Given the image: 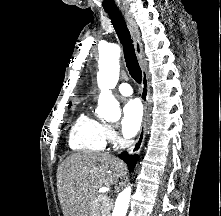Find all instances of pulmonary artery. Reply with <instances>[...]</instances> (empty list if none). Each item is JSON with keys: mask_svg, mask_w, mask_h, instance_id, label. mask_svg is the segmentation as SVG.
<instances>
[{"mask_svg": "<svg viewBox=\"0 0 221 216\" xmlns=\"http://www.w3.org/2000/svg\"><path fill=\"white\" fill-rule=\"evenodd\" d=\"M118 90L123 96H130L133 93L132 87L128 83L119 84Z\"/></svg>", "mask_w": 221, "mask_h": 216, "instance_id": "pulmonary-artery-1", "label": "pulmonary artery"}]
</instances>
